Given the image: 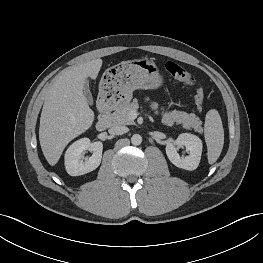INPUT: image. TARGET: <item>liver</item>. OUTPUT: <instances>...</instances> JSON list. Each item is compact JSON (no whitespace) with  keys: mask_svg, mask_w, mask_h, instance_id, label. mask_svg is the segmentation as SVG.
<instances>
[{"mask_svg":"<svg viewBox=\"0 0 263 263\" xmlns=\"http://www.w3.org/2000/svg\"><path fill=\"white\" fill-rule=\"evenodd\" d=\"M102 59H94L70 67L51 83L42 108L39 141L47 162L54 166L67 144L88 130L94 122V112L83 93L85 80H95Z\"/></svg>","mask_w":263,"mask_h":263,"instance_id":"1","label":"liver"}]
</instances>
